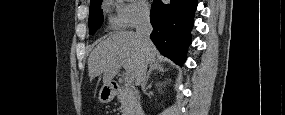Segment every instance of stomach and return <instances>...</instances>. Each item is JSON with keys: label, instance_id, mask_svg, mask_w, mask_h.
Masks as SVG:
<instances>
[{"label": "stomach", "instance_id": "obj_1", "mask_svg": "<svg viewBox=\"0 0 285 115\" xmlns=\"http://www.w3.org/2000/svg\"><path fill=\"white\" fill-rule=\"evenodd\" d=\"M116 95V92L110 84L102 86V88L99 91V101L101 103H109L113 100L114 96Z\"/></svg>", "mask_w": 285, "mask_h": 115}]
</instances>
